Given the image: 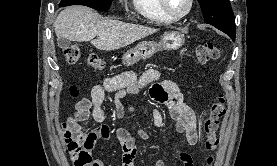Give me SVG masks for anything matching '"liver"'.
<instances>
[{
	"instance_id": "obj_1",
	"label": "liver",
	"mask_w": 277,
	"mask_h": 166,
	"mask_svg": "<svg viewBox=\"0 0 277 166\" xmlns=\"http://www.w3.org/2000/svg\"><path fill=\"white\" fill-rule=\"evenodd\" d=\"M57 38L86 42L100 50H117L152 35L158 29L118 20H100L86 6H69L59 13L54 24ZM98 37L94 40L95 37Z\"/></svg>"
}]
</instances>
